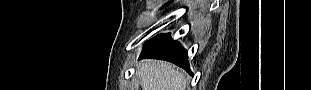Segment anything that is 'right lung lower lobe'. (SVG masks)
I'll use <instances>...</instances> for the list:
<instances>
[{
	"instance_id": "right-lung-lower-lobe-1",
	"label": "right lung lower lobe",
	"mask_w": 311,
	"mask_h": 90,
	"mask_svg": "<svg viewBox=\"0 0 311 90\" xmlns=\"http://www.w3.org/2000/svg\"><path fill=\"white\" fill-rule=\"evenodd\" d=\"M141 58H155L172 62L189 71L186 50L170 34L158 35L147 42Z\"/></svg>"
}]
</instances>
